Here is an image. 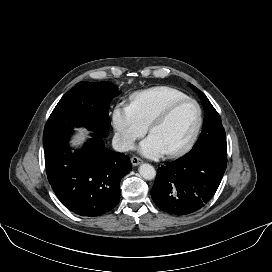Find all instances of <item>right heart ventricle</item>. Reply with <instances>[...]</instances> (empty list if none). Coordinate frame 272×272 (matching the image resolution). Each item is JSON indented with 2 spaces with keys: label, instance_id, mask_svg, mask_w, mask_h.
Instances as JSON below:
<instances>
[{
  "label": "right heart ventricle",
  "instance_id": "obj_1",
  "mask_svg": "<svg viewBox=\"0 0 272 272\" xmlns=\"http://www.w3.org/2000/svg\"><path fill=\"white\" fill-rule=\"evenodd\" d=\"M187 97L182 91L169 86H156L134 93L130 108L147 127L151 120L171 102Z\"/></svg>",
  "mask_w": 272,
  "mask_h": 272
}]
</instances>
